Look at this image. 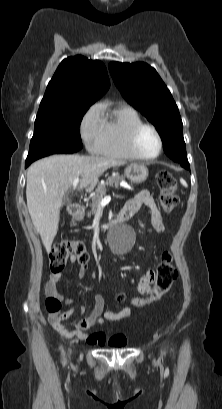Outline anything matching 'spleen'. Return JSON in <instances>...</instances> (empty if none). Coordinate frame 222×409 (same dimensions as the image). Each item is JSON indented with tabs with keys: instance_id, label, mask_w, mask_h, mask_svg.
<instances>
[{
	"instance_id": "spleen-1",
	"label": "spleen",
	"mask_w": 222,
	"mask_h": 409,
	"mask_svg": "<svg viewBox=\"0 0 222 409\" xmlns=\"http://www.w3.org/2000/svg\"><path fill=\"white\" fill-rule=\"evenodd\" d=\"M180 182L184 187H187V183L184 179H180Z\"/></svg>"
}]
</instances>
